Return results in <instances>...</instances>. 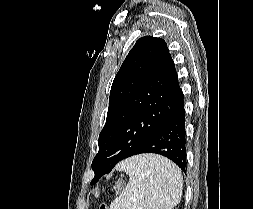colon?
I'll return each mask as SVG.
<instances>
[{
    "instance_id": "5ec220e1",
    "label": "colon",
    "mask_w": 253,
    "mask_h": 209,
    "mask_svg": "<svg viewBox=\"0 0 253 209\" xmlns=\"http://www.w3.org/2000/svg\"><path fill=\"white\" fill-rule=\"evenodd\" d=\"M123 187V182L120 181L118 182L116 185H115V191L116 193L120 192V190L122 189ZM100 209H107V205L106 204H102Z\"/></svg>"
}]
</instances>
